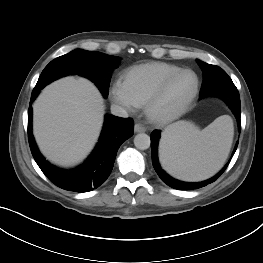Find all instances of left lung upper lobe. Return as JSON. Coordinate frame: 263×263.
<instances>
[{"instance_id": "left-lung-upper-lobe-1", "label": "left lung upper lobe", "mask_w": 263, "mask_h": 263, "mask_svg": "<svg viewBox=\"0 0 263 263\" xmlns=\"http://www.w3.org/2000/svg\"><path fill=\"white\" fill-rule=\"evenodd\" d=\"M197 63L200 65L205 64L204 62L197 60ZM220 68V67H219ZM214 87H235L234 83L232 82L231 78L227 75V73L223 69H219L217 71V78L212 81ZM204 89V83L201 89V93Z\"/></svg>"}]
</instances>
